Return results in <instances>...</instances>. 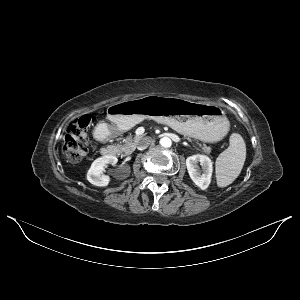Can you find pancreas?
Returning a JSON list of instances; mask_svg holds the SVG:
<instances>
[{"label":"pancreas","mask_w":300,"mask_h":300,"mask_svg":"<svg viewBox=\"0 0 300 300\" xmlns=\"http://www.w3.org/2000/svg\"><path fill=\"white\" fill-rule=\"evenodd\" d=\"M141 137L142 136L135 135L134 137L129 136V137H126L125 139H123L122 144L118 145L119 152L120 153L124 152L125 155L130 154L138 145ZM187 139L189 141H191L190 138H187ZM202 150H203V152L210 154L212 149H211V147L203 145Z\"/></svg>","instance_id":"1"}]
</instances>
